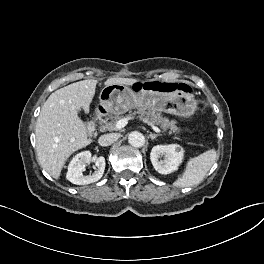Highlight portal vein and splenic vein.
<instances>
[{"instance_id":"obj_1","label":"portal vein and splenic vein","mask_w":264,"mask_h":264,"mask_svg":"<svg viewBox=\"0 0 264 264\" xmlns=\"http://www.w3.org/2000/svg\"><path fill=\"white\" fill-rule=\"evenodd\" d=\"M129 119H130V118H122V119L118 120L117 123H116V130H120V129H122L123 127H125V126L127 125ZM148 125H150V127H151L155 132H157V133H160V132H161V130H160L158 127H156V126H154V125H152V124H150V123H148Z\"/></svg>"}]
</instances>
